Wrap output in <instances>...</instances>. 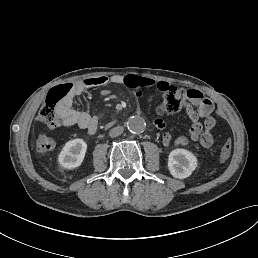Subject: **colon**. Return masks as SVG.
<instances>
[{
  "label": "colon",
  "mask_w": 258,
  "mask_h": 258,
  "mask_svg": "<svg viewBox=\"0 0 258 258\" xmlns=\"http://www.w3.org/2000/svg\"><path fill=\"white\" fill-rule=\"evenodd\" d=\"M74 92L75 86L72 83H64L51 88L40 109L38 120L49 130L57 129L61 124L59 109L74 97ZM186 99L187 92L184 89L170 85L163 92V101L160 106V112H178L184 106ZM231 150V140L226 139L219 152V159L221 162H226L229 159Z\"/></svg>",
  "instance_id": "obj_1"
}]
</instances>
